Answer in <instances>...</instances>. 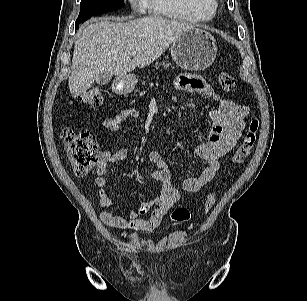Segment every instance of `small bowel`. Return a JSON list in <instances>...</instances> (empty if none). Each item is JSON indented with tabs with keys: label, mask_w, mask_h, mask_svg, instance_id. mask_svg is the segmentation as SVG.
Returning <instances> with one entry per match:
<instances>
[{
	"label": "small bowel",
	"mask_w": 307,
	"mask_h": 301,
	"mask_svg": "<svg viewBox=\"0 0 307 301\" xmlns=\"http://www.w3.org/2000/svg\"><path fill=\"white\" fill-rule=\"evenodd\" d=\"M180 91L200 93L215 103V108L209 112L211 126L208 139L195 149L196 155L207 162V166L198 177H187L182 183V189L175 186V180L165 167L161 155L152 151L148 155V161L154 167L151 172L153 180L160 184V193L153 199L142 202L137 208L128 210L125 215L115 214L111 211L100 213L101 221L122 230L145 231L154 230L161 222L163 216L180 199L182 192L196 193L202 190L213 180L220 169L219 159L230 152L237 144L244 120L249 113L245 105L235 103L216 93L203 78L197 75H180L175 82ZM140 112L135 108H125L113 116L106 117L101 122L104 131L116 132L127 119H137ZM102 160L97 167L95 184L98 188L99 203L109 209L113 205L112 197L107 188L106 173L108 167L117 162L127 160V149L116 151L106 150L101 153ZM150 213L148 218L144 216Z\"/></svg>",
	"instance_id": "c3829d8e"
}]
</instances>
